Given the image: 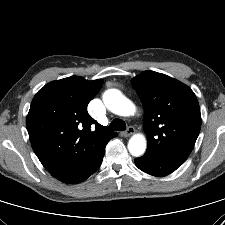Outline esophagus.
<instances>
[{
  "instance_id": "1",
  "label": "esophagus",
  "mask_w": 225,
  "mask_h": 225,
  "mask_svg": "<svg viewBox=\"0 0 225 225\" xmlns=\"http://www.w3.org/2000/svg\"><path fill=\"white\" fill-rule=\"evenodd\" d=\"M135 133V128L133 126H129L127 130L123 133L125 137H129Z\"/></svg>"
}]
</instances>
